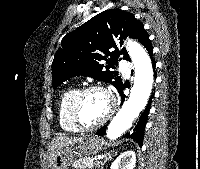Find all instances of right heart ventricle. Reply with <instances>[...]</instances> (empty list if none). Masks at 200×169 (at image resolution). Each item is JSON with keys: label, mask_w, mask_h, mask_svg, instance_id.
Returning <instances> with one entry per match:
<instances>
[{"label": "right heart ventricle", "mask_w": 200, "mask_h": 169, "mask_svg": "<svg viewBox=\"0 0 200 169\" xmlns=\"http://www.w3.org/2000/svg\"><path fill=\"white\" fill-rule=\"evenodd\" d=\"M78 91L79 90L77 87L71 86L64 89L59 96V101H58L59 124L61 128L66 132L75 133L79 131V129L73 123L70 114L71 102Z\"/></svg>", "instance_id": "e07e8e85"}]
</instances>
